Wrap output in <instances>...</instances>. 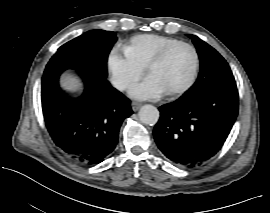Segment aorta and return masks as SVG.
I'll use <instances>...</instances> for the list:
<instances>
[{
	"mask_svg": "<svg viewBox=\"0 0 270 213\" xmlns=\"http://www.w3.org/2000/svg\"><path fill=\"white\" fill-rule=\"evenodd\" d=\"M139 119L146 125H154L159 119L158 109L150 104L144 105L138 112Z\"/></svg>",
	"mask_w": 270,
	"mask_h": 213,
	"instance_id": "1",
	"label": "aorta"
}]
</instances>
